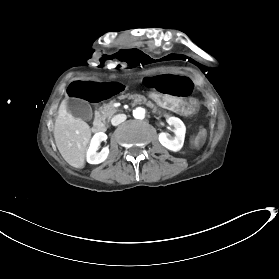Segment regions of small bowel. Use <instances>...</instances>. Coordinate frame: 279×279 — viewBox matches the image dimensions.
<instances>
[{
    "label": "small bowel",
    "instance_id": "small-bowel-1",
    "mask_svg": "<svg viewBox=\"0 0 279 279\" xmlns=\"http://www.w3.org/2000/svg\"><path fill=\"white\" fill-rule=\"evenodd\" d=\"M143 83L151 92L171 96H186L192 90V83L188 77L174 73L146 76Z\"/></svg>",
    "mask_w": 279,
    "mask_h": 279
}]
</instances>
